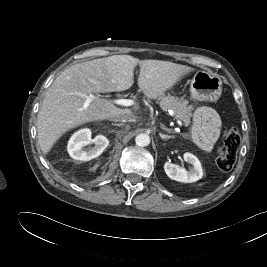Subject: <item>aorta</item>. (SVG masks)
<instances>
[{"label":"aorta","mask_w":267,"mask_h":267,"mask_svg":"<svg viewBox=\"0 0 267 267\" xmlns=\"http://www.w3.org/2000/svg\"><path fill=\"white\" fill-rule=\"evenodd\" d=\"M135 142L141 147L148 146L150 144V137L146 133H141L135 137Z\"/></svg>","instance_id":"aorta-1"}]
</instances>
